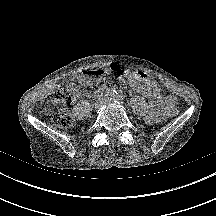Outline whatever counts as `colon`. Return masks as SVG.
Instances as JSON below:
<instances>
[{
  "label": "colon",
  "mask_w": 216,
  "mask_h": 216,
  "mask_svg": "<svg viewBox=\"0 0 216 216\" xmlns=\"http://www.w3.org/2000/svg\"><path fill=\"white\" fill-rule=\"evenodd\" d=\"M76 87L74 84L67 86H55L49 93V99L52 103L51 120L61 128H68L73 123V118L68 110L69 104L75 97ZM179 110L174 104L168 112L171 117H176Z\"/></svg>",
  "instance_id": "1"
}]
</instances>
